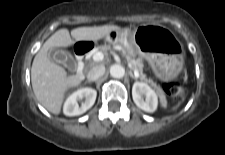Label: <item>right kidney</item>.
<instances>
[{
  "label": "right kidney",
  "mask_w": 225,
  "mask_h": 155,
  "mask_svg": "<svg viewBox=\"0 0 225 155\" xmlns=\"http://www.w3.org/2000/svg\"><path fill=\"white\" fill-rule=\"evenodd\" d=\"M97 92L92 88H81L72 93L64 103L63 113L66 116H77L85 113L95 103ZM82 102L81 106L78 105V101Z\"/></svg>",
  "instance_id": "1"
}]
</instances>
